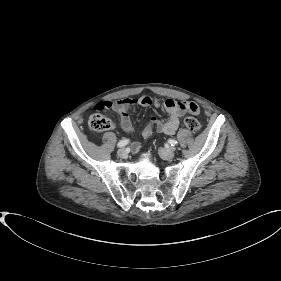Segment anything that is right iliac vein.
Segmentation results:
<instances>
[{"label":"right iliac vein","mask_w":281,"mask_h":281,"mask_svg":"<svg viewBox=\"0 0 281 281\" xmlns=\"http://www.w3.org/2000/svg\"><path fill=\"white\" fill-rule=\"evenodd\" d=\"M117 154H118L119 157L125 158V157L127 156L126 149H125V148H120V149L117 151Z\"/></svg>","instance_id":"right-iliac-vein-1"}]
</instances>
